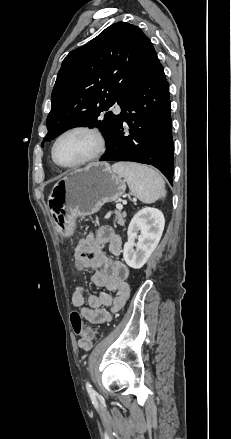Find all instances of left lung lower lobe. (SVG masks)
Masks as SVG:
<instances>
[{
    "instance_id": "obj_1",
    "label": "left lung lower lobe",
    "mask_w": 231,
    "mask_h": 439,
    "mask_svg": "<svg viewBox=\"0 0 231 439\" xmlns=\"http://www.w3.org/2000/svg\"><path fill=\"white\" fill-rule=\"evenodd\" d=\"M169 84L153 48L129 89L101 161H132L159 169L173 185ZM127 125L128 132H125Z\"/></svg>"
}]
</instances>
